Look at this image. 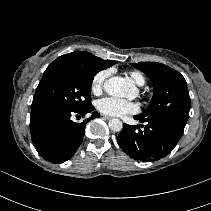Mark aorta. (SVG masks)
Masks as SVG:
<instances>
[{
    "label": "aorta",
    "mask_w": 211,
    "mask_h": 211,
    "mask_svg": "<svg viewBox=\"0 0 211 211\" xmlns=\"http://www.w3.org/2000/svg\"><path fill=\"white\" fill-rule=\"evenodd\" d=\"M131 82L123 77H111L104 83V90L110 96L124 97L128 93ZM109 128L112 131L119 132L123 128V123L117 118L109 120Z\"/></svg>",
    "instance_id": "762f6f07"
}]
</instances>
